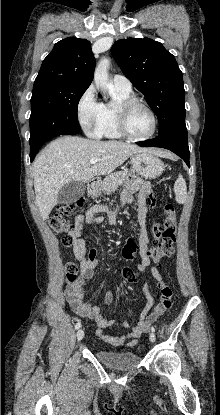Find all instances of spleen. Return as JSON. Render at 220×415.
<instances>
[{
    "label": "spleen",
    "mask_w": 220,
    "mask_h": 415,
    "mask_svg": "<svg viewBox=\"0 0 220 415\" xmlns=\"http://www.w3.org/2000/svg\"><path fill=\"white\" fill-rule=\"evenodd\" d=\"M174 191L176 195V201L181 204L185 203L187 198V186L182 175H179L175 181Z\"/></svg>",
    "instance_id": "obj_1"
}]
</instances>
